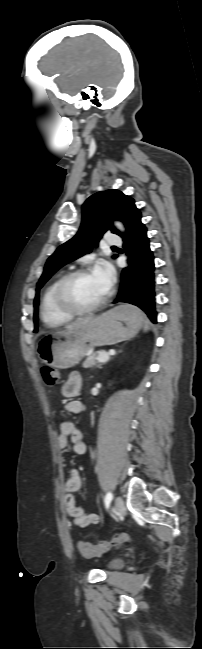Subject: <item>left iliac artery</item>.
I'll return each instance as SVG.
<instances>
[{
	"instance_id": "44dca946",
	"label": "left iliac artery",
	"mask_w": 202,
	"mask_h": 649,
	"mask_svg": "<svg viewBox=\"0 0 202 649\" xmlns=\"http://www.w3.org/2000/svg\"><path fill=\"white\" fill-rule=\"evenodd\" d=\"M112 497H113V496H112V493H111V492H108V493L106 494V496H105V506H106V508L109 507L110 502H111V500H112Z\"/></svg>"
}]
</instances>
